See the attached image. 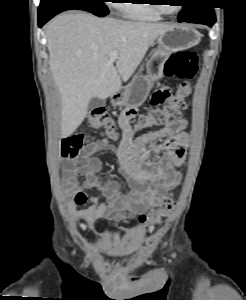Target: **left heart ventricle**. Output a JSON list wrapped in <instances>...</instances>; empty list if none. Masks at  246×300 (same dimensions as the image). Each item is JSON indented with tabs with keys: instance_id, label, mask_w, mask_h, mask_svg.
<instances>
[{
	"instance_id": "b2bd125f",
	"label": "left heart ventricle",
	"mask_w": 246,
	"mask_h": 300,
	"mask_svg": "<svg viewBox=\"0 0 246 300\" xmlns=\"http://www.w3.org/2000/svg\"><path fill=\"white\" fill-rule=\"evenodd\" d=\"M169 2H173V1H169ZM164 8L170 12V13H173L177 10L178 6L177 5H174V4H171V5H166L164 6Z\"/></svg>"
}]
</instances>
